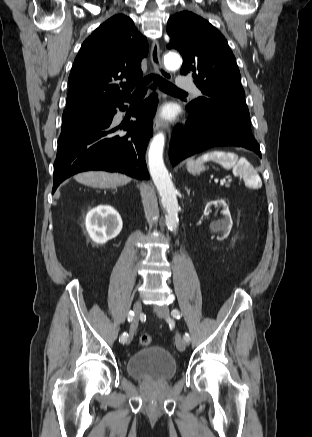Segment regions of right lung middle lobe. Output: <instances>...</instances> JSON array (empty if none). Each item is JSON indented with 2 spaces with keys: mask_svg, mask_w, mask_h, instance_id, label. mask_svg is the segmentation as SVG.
<instances>
[{
  "mask_svg": "<svg viewBox=\"0 0 312 437\" xmlns=\"http://www.w3.org/2000/svg\"><path fill=\"white\" fill-rule=\"evenodd\" d=\"M108 111L109 108H85L64 111L61 134L101 120L107 116Z\"/></svg>",
  "mask_w": 312,
  "mask_h": 437,
  "instance_id": "right-lung-middle-lobe-1",
  "label": "right lung middle lobe"
}]
</instances>
